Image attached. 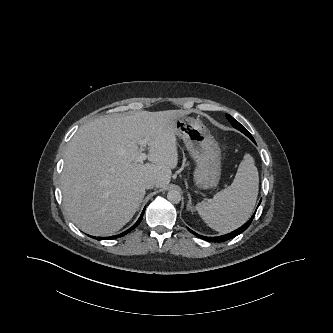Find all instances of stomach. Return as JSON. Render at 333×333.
Returning <instances> with one entry per match:
<instances>
[{
    "instance_id": "0dacf381",
    "label": "stomach",
    "mask_w": 333,
    "mask_h": 333,
    "mask_svg": "<svg viewBox=\"0 0 333 333\" xmlns=\"http://www.w3.org/2000/svg\"><path fill=\"white\" fill-rule=\"evenodd\" d=\"M177 135L184 141L196 163L194 182L199 189H211L221 176V150L206 126L192 117L176 119Z\"/></svg>"
}]
</instances>
